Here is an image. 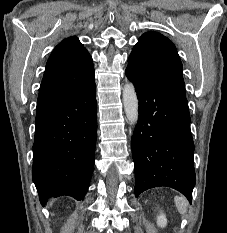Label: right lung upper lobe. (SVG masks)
<instances>
[{"mask_svg": "<svg viewBox=\"0 0 227 233\" xmlns=\"http://www.w3.org/2000/svg\"><path fill=\"white\" fill-rule=\"evenodd\" d=\"M94 81L93 61L83 44L75 36L62 40L47 61L37 113L69 98Z\"/></svg>", "mask_w": 227, "mask_h": 233, "instance_id": "cb5924a9", "label": "right lung upper lobe"}]
</instances>
